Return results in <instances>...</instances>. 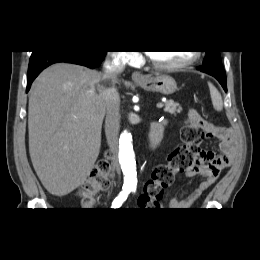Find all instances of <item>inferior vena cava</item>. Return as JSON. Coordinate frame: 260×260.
<instances>
[{"mask_svg": "<svg viewBox=\"0 0 260 260\" xmlns=\"http://www.w3.org/2000/svg\"><path fill=\"white\" fill-rule=\"evenodd\" d=\"M126 62V56L120 51L109 52L103 65L102 80L104 82H109L111 86H102L99 89L108 116L105 123V132L107 144L112 153L116 150L120 129V97L115 84L118 82V75L125 69ZM114 166L119 173L115 161Z\"/></svg>", "mask_w": 260, "mask_h": 260, "instance_id": "1", "label": "inferior vena cava"}]
</instances>
